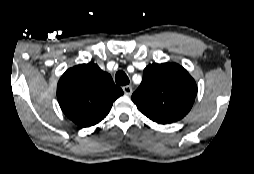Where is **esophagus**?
Returning <instances> with one entry per match:
<instances>
[{
	"mask_svg": "<svg viewBox=\"0 0 254 174\" xmlns=\"http://www.w3.org/2000/svg\"><path fill=\"white\" fill-rule=\"evenodd\" d=\"M122 89H123L124 93L128 96L131 95L133 92V89L130 85L123 86Z\"/></svg>",
	"mask_w": 254,
	"mask_h": 174,
	"instance_id": "1",
	"label": "esophagus"
}]
</instances>
